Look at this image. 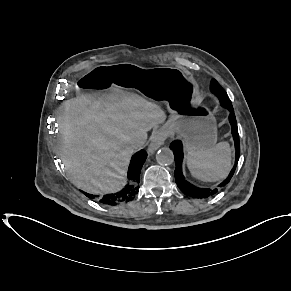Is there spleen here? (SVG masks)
Here are the masks:
<instances>
[{"label":"spleen","mask_w":291,"mask_h":291,"mask_svg":"<svg viewBox=\"0 0 291 291\" xmlns=\"http://www.w3.org/2000/svg\"><path fill=\"white\" fill-rule=\"evenodd\" d=\"M231 148L228 142H220L201 151H189L187 166L193 177L202 181L224 179L231 169Z\"/></svg>","instance_id":"1"}]
</instances>
